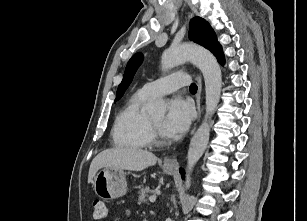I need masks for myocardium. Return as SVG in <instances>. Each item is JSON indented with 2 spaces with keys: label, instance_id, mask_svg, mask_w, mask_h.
I'll return each instance as SVG.
<instances>
[{
  "label": "myocardium",
  "instance_id": "1",
  "mask_svg": "<svg viewBox=\"0 0 307 221\" xmlns=\"http://www.w3.org/2000/svg\"><path fill=\"white\" fill-rule=\"evenodd\" d=\"M166 143V140L161 133L158 126L152 120V117H149V144L154 146H162Z\"/></svg>",
  "mask_w": 307,
  "mask_h": 221
}]
</instances>
